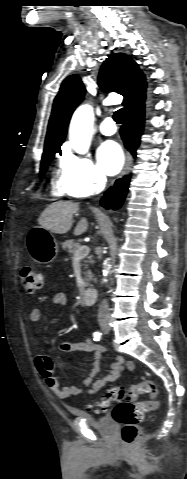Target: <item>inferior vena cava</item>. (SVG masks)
Returning <instances> with one entry per match:
<instances>
[{
    "label": "inferior vena cava",
    "instance_id": "602c4592",
    "mask_svg": "<svg viewBox=\"0 0 187 479\" xmlns=\"http://www.w3.org/2000/svg\"><path fill=\"white\" fill-rule=\"evenodd\" d=\"M104 184H105V179L103 178L100 180L99 186L100 187L104 186ZM109 316H110V312H109L108 302L106 300H103L99 306L98 319L99 320L107 319L109 318Z\"/></svg>",
    "mask_w": 187,
    "mask_h": 479
}]
</instances>
